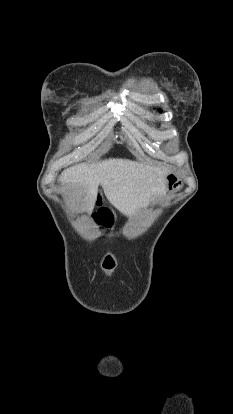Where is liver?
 Here are the masks:
<instances>
[{"instance_id":"1","label":"liver","mask_w":233,"mask_h":414,"mask_svg":"<svg viewBox=\"0 0 233 414\" xmlns=\"http://www.w3.org/2000/svg\"><path fill=\"white\" fill-rule=\"evenodd\" d=\"M169 170L125 159H108L78 164L65 169L59 178L64 185L86 192L87 211H91L100 184L109 202L121 213L131 216L147 207L153 197L166 191Z\"/></svg>"}]
</instances>
